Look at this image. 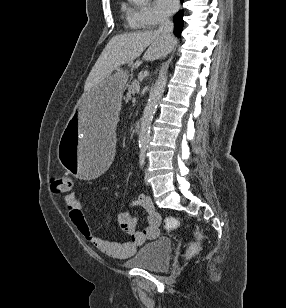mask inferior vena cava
<instances>
[{"label": "inferior vena cava", "instance_id": "1", "mask_svg": "<svg viewBox=\"0 0 286 308\" xmlns=\"http://www.w3.org/2000/svg\"><path fill=\"white\" fill-rule=\"evenodd\" d=\"M173 28H174L173 22L170 21L167 17H162L160 19V25L157 32L164 37H167L169 39H174Z\"/></svg>", "mask_w": 286, "mask_h": 308}]
</instances>
